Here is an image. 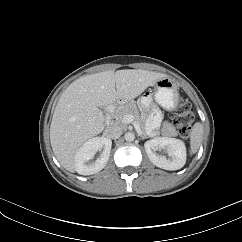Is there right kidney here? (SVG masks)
<instances>
[{"label": "right kidney", "mask_w": 242, "mask_h": 242, "mask_svg": "<svg viewBox=\"0 0 242 242\" xmlns=\"http://www.w3.org/2000/svg\"><path fill=\"white\" fill-rule=\"evenodd\" d=\"M112 142L106 137L89 139L77 150L75 155L76 171L81 175H91L101 171L107 164L111 152ZM102 151L95 162H90L97 151Z\"/></svg>", "instance_id": "ca27d5eb"}]
</instances>
